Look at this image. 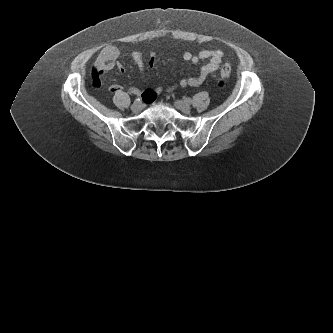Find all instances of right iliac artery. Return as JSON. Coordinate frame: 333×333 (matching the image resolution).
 <instances>
[{
	"instance_id": "82829eb1",
	"label": "right iliac artery",
	"mask_w": 333,
	"mask_h": 333,
	"mask_svg": "<svg viewBox=\"0 0 333 333\" xmlns=\"http://www.w3.org/2000/svg\"><path fill=\"white\" fill-rule=\"evenodd\" d=\"M135 102H141V99H140V98H137V99L135 100Z\"/></svg>"
}]
</instances>
